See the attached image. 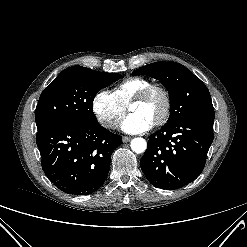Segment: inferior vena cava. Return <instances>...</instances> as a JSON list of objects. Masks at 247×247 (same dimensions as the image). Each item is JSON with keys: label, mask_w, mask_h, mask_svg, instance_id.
Wrapping results in <instances>:
<instances>
[{"label": "inferior vena cava", "mask_w": 247, "mask_h": 247, "mask_svg": "<svg viewBox=\"0 0 247 247\" xmlns=\"http://www.w3.org/2000/svg\"><path fill=\"white\" fill-rule=\"evenodd\" d=\"M114 125H115V123L113 121H110V122L107 123L108 127H113Z\"/></svg>", "instance_id": "602c4592"}]
</instances>
